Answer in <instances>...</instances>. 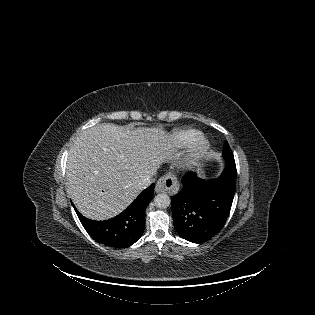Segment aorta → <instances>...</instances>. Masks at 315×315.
Masks as SVG:
<instances>
[{
    "instance_id": "762f6f07",
    "label": "aorta",
    "mask_w": 315,
    "mask_h": 315,
    "mask_svg": "<svg viewBox=\"0 0 315 315\" xmlns=\"http://www.w3.org/2000/svg\"><path fill=\"white\" fill-rule=\"evenodd\" d=\"M154 202H155L156 207L160 209H165L169 207L171 200L167 194L161 193L155 197Z\"/></svg>"
}]
</instances>
